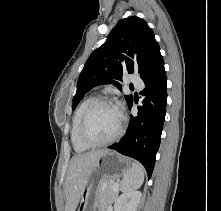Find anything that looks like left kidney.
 Here are the masks:
<instances>
[{"label":"left kidney","instance_id":"obj_1","mask_svg":"<svg viewBox=\"0 0 221 211\" xmlns=\"http://www.w3.org/2000/svg\"><path fill=\"white\" fill-rule=\"evenodd\" d=\"M142 193L130 191L121 194L114 204V211H136L140 203Z\"/></svg>","mask_w":221,"mask_h":211}]
</instances>
